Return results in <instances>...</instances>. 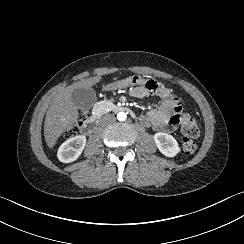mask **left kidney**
Returning <instances> with one entry per match:
<instances>
[{
	"label": "left kidney",
	"instance_id": "obj_1",
	"mask_svg": "<svg viewBox=\"0 0 244 244\" xmlns=\"http://www.w3.org/2000/svg\"><path fill=\"white\" fill-rule=\"evenodd\" d=\"M154 142L165 157L174 158L181 153V147L171 134L157 132L154 134Z\"/></svg>",
	"mask_w": 244,
	"mask_h": 244
}]
</instances>
